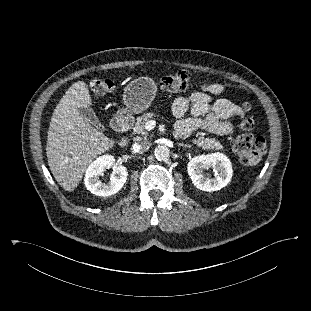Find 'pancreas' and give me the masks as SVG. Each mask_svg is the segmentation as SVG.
I'll return each mask as SVG.
<instances>
[{"instance_id":"obj_1","label":"pancreas","mask_w":311,"mask_h":311,"mask_svg":"<svg viewBox=\"0 0 311 311\" xmlns=\"http://www.w3.org/2000/svg\"><path fill=\"white\" fill-rule=\"evenodd\" d=\"M154 112H149L142 117L137 119V122L133 128L134 133L136 134H142L146 135V132L144 131L145 129V124L150 121L151 118L155 117ZM193 143L196 144L198 147H201L204 150H223V145L215 140L214 138H204L203 136L194 139Z\"/></svg>"}]
</instances>
